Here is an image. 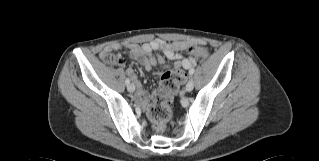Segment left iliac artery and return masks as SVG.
Here are the masks:
<instances>
[{
    "instance_id": "left-iliac-artery-1",
    "label": "left iliac artery",
    "mask_w": 319,
    "mask_h": 161,
    "mask_svg": "<svg viewBox=\"0 0 319 161\" xmlns=\"http://www.w3.org/2000/svg\"><path fill=\"white\" fill-rule=\"evenodd\" d=\"M194 72H195V69H194V68H191V69L189 70V74H190L191 76L194 74Z\"/></svg>"
}]
</instances>
